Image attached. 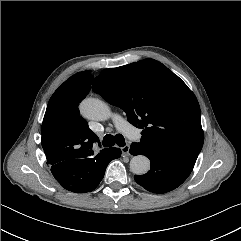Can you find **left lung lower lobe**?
<instances>
[{"label":"left lung lower lobe","instance_id":"obj_1","mask_svg":"<svg viewBox=\"0 0 241 241\" xmlns=\"http://www.w3.org/2000/svg\"><path fill=\"white\" fill-rule=\"evenodd\" d=\"M132 155H145L150 159L151 169L144 175H135V181L153 193H166L180 186L193 170L192 165L142 149L132 143Z\"/></svg>","mask_w":241,"mask_h":241}]
</instances>
